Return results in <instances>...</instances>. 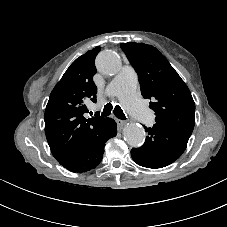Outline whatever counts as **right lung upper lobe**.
<instances>
[{"label": "right lung upper lobe", "mask_w": 227, "mask_h": 227, "mask_svg": "<svg viewBox=\"0 0 227 227\" xmlns=\"http://www.w3.org/2000/svg\"><path fill=\"white\" fill-rule=\"evenodd\" d=\"M100 47L78 57L52 90L45 110V134L51 153L59 160L82 147L103 125L106 118L86 119L85 100L96 102L95 58Z\"/></svg>", "instance_id": "1"}]
</instances>
